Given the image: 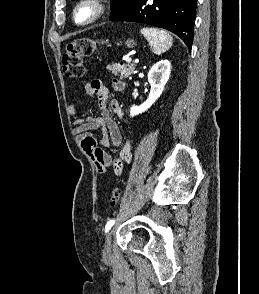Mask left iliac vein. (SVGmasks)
<instances>
[{
  "instance_id": "4c4485c4",
  "label": "left iliac vein",
  "mask_w": 259,
  "mask_h": 294,
  "mask_svg": "<svg viewBox=\"0 0 259 294\" xmlns=\"http://www.w3.org/2000/svg\"><path fill=\"white\" fill-rule=\"evenodd\" d=\"M112 233L113 231H109L104 242L103 253L104 255H110L111 253V241H112Z\"/></svg>"
}]
</instances>
